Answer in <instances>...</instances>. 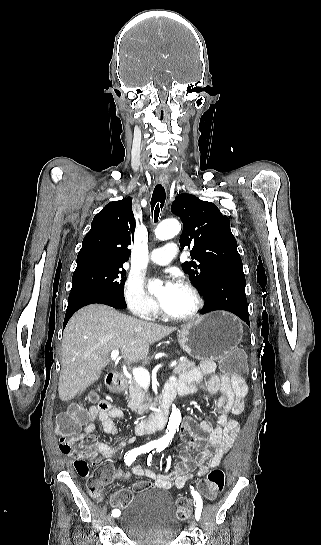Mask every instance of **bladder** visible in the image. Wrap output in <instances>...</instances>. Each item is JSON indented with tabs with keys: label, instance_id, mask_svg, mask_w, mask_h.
I'll use <instances>...</instances> for the list:
<instances>
[{
	"label": "bladder",
	"instance_id": "31cf9c89",
	"mask_svg": "<svg viewBox=\"0 0 321 545\" xmlns=\"http://www.w3.org/2000/svg\"><path fill=\"white\" fill-rule=\"evenodd\" d=\"M118 519L122 531L135 545H169L181 530L172 496L162 488L136 492Z\"/></svg>",
	"mask_w": 321,
	"mask_h": 545
}]
</instances>
